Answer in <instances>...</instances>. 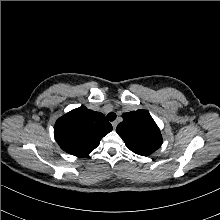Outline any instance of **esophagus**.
I'll list each match as a JSON object with an SVG mask.
<instances>
[{"mask_svg": "<svg viewBox=\"0 0 220 220\" xmlns=\"http://www.w3.org/2000/svg\"><path fill=\"white\" fill-rule=\"evenodd\" d=\"M117 125H118L117 121L112 122L113 129H116Z\"/></svg>", "mask_w": 220, "mask_h": 220, "instance_id": "34e87169", "label": "esophagus"}]
</instances>
